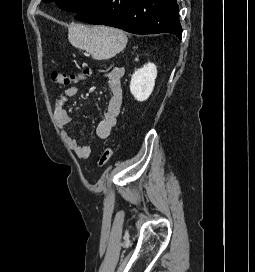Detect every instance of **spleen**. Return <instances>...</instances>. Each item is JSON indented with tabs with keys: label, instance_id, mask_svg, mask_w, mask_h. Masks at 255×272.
Segmentation results:
<instances>
[{
	"label": "spleen",
	"instance_id": "spleen-1",
	"mask_svg": "<svg viewBox=\"0 0 255 272\" xmlns=\"http://www.w3.org/2000/svg\"><path fill=\"white\" fill-rule=\"evenodd\" d=\"M69 42L91 53L97 60L110 59L127 45L126 34L116 28L73 24L68 28Z\"/></svg>",
	"mask_w": 255,
	"mask_h": 272
}]
</instances>
